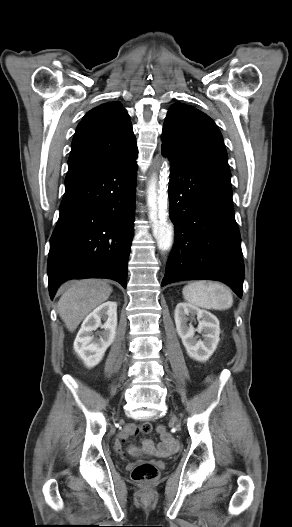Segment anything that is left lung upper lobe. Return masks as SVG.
Wrapping results in <instances>:
<instances>
[{
    "label": "left lung upper lobe",
    "mask_w": 292,
    "mask_h": 527,
    "mask_svg": "<svg viewBox=\"0 0 292 527\" xmlns=\"http://www.w3.org/2000/svg\"><path fill=\"white\" fill-rule=\"evenodd\" d=\"M162 149L188 162L229 170L222 135L213 120L198 109L174 104L166 116Z\"/></svg>",
    "instance_id": "5c2ea615"
}]
</instances>
